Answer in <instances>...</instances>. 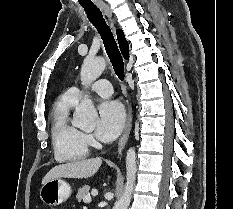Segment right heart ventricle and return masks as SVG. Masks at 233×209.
I'll list each match as a JSON object with an SVG mask.
<instances>
[{"label":"right heart ventricle","instance_id":"e07e8e85","mask_svg":"<svg viewBox=\"0 0 233 209\" xmlns=\"http://www.w3.org/2000/svg\"><path fill=\"white\" fill-rule=\"evenodd\" d=\"M77 102L66 92L56 100L52 109V145L54 156L59 162L78 161L89 154L83 133L70 120V112Z\"/></svg>","mask_w":233,"mask_h":209}]
</instances>
